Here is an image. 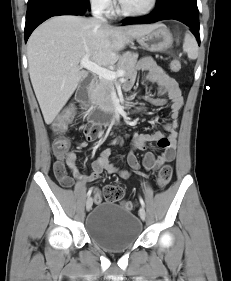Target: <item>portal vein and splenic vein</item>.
I'll return each instance as SVG.
<instances>
[{"label":"portal vein and splenic vein","instance_id":"obj_1","mask_svg":"<svg viewBox=\"0 0 231 281\" xmlns=\"http://www.w3.org/2000/svg\"><path fill=\"white\" fill-rule=\"evenodd\" d=\"M80 67L86 68L87 70H90L93 73H96L100 77L108 79V80H112V81L119 77H123L125 74L124 70H119V71L115 72V71L106 69L104 67H101V66L97 65L96 63L90 61L88 56H85L81 59Z\"/></svg>","mask_w":231,"mask_h":281}]
</instances>
